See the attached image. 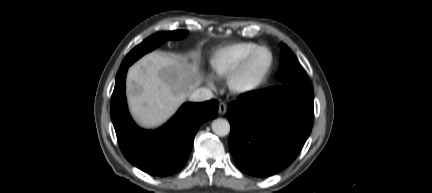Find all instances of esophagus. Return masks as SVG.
Wrapping results in <instances>:
<instances>
[{
	"mask_svg": "<svg viewBox=\"0 0 432 193\" xmlns=\"http://www.w3.org/2000/svg\"><path fill=\"white\" fill-rule=\"evenodd\" d=\"M227 111V105L224 102L219 103V109L218 112L220 115H224Z\"/></svg>",
	"mask_w": 432,
	"mask_h": 193,
	"instance_id": "esophagus-1",
	"label": "esophagus"
}]
</instances>
